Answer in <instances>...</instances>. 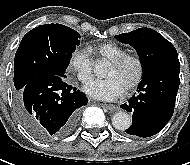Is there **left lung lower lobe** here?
Returning <instances> with one entry per match:
<instances>
[{
  "label": "left lung lower lobe",
  "mask_w": 190,
  "mask_h": 165,
  "mask_svg": "<svg viewBox=\"0 0 190 165\" xmlns=\"http://www.w3.org/2000/svg\"><path fill=\"white\" fill-rule=\"evenodd\" d=\"M180 64L161 66L142 77L138 96L120 107L133 112L132 125L126 132L150 137L160 132L174 112L180 79Z\"/></svg>",
  "instance_id": "left-lung-lower-lobe-1"
}]
</instances>
